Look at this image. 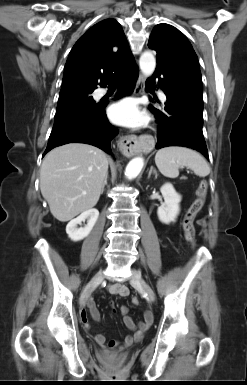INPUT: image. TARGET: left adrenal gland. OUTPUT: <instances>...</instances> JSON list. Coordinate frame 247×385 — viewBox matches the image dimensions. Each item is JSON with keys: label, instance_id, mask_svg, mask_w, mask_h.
<instances>
[{"label": "left adrenal gland", "instance_id": "a2214340", "mask_svg": "<svg viewBox=\"0 0 247 385\" xmlns=\"http://www.w3.org/2000/svg\"><path fill=\"white\" fill-rule=\"evenodd\" d=\"M152 173L155 175V178H157V171H156V169L153 166L150 167L148 178H150Z\"/></svg>", "mask_w": 247, "mask_h": 385}]
</instances>
